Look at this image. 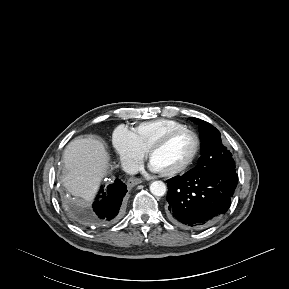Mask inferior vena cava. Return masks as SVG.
I'll return each mask as SVG.
<instances>
[{
	"mask_svg": "<svg viewBox=\"0 0 289 289\" xmlns=\"http://www.w3.org/2000/svg\"><path fill=\"white\" fill-rule=\"evenodd\" d=\"M122 169L128 174H136L139 170V166L132 160H126L122 163Z\"/></svg>",
	"mask_w": 289,
	"mask_h": 289,
	"instance_id": "602c4592",
	"label": "inferior vena cava"
}]
</instances>
